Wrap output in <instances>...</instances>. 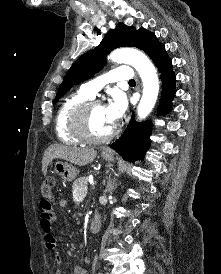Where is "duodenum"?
<instances>
[{
	"mask_svg": "<svg viewBox=\"0 0 221 274\" xmlns=\"http://www.w3.org/2000/svg\"><path fill=\"white\" fill-rule=\"evenodd\" d=\"M101 227V216L98 212H95L90 220L89 232L95 234L100 230Z\"/></svg>",
	"mask_w": 221,
	"mask_h": 274,
	"instance_id": "410a0bca",
	"label": "duodenum"
}]
</instances>
